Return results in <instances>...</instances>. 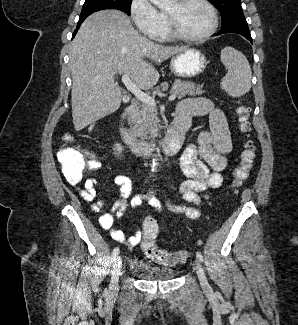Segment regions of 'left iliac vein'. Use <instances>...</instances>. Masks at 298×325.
Instances as JSON below:
<instances>
[{
    "mask_svg": "<svg viewBox=\"0 0 298 325\" xmlns=\"http://www.w3.org/2000/svg\"><path fill=\"white\" fill-rule=\"evenodd\" d=\"M194 270L197 273V276H198V279L200 281V284H201L202 288L205 291H209L211 289V287H210V285H209V283L207 281L205 272H204L203 268L201 267V264H200L199 260L194 261Z\"/></svg>",
    "mask_w": 298,
    "mask_h": 325,
    "instance_id": "4c4485c4",
    "label": "left iliac vein"
}]
</instances>
